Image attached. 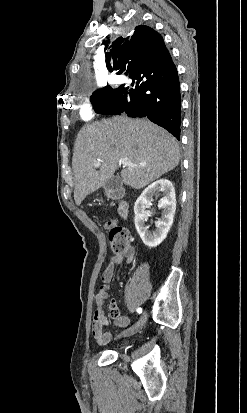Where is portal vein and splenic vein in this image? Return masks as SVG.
<instances>
[{
    "instance_id": "obj_1",
    "label": "portal vein and splenic vein",
    "mask_w": 247,
    "mask_h": 413,
    "mask_svg": "<svg viewBox=\"0 0 247 413\" xmlns=\"http://www.w3.org/2000/svg\"><path fill=\"white\" fill-rule=\"evenodd\" d=\"M101 164V160H95V162H93V166H100ZM120 166L122 164V166H127V164H130L129 160H127V158H123V160H120L119 162Z\"/></svg>"
}]
</instances>
